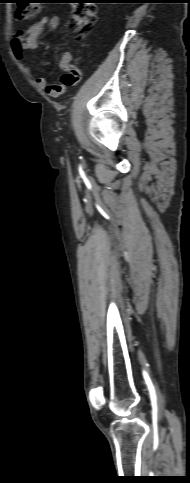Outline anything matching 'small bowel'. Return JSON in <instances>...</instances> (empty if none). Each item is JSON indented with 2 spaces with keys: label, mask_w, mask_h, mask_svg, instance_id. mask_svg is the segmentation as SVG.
Wrapping results in <instances>:
<instances>
[{
  "label": "small bowel",
  "mask_w": 190,
  "mask_h": 483,
  "mask_svg": "<svg viewBox=\"0 0 190 483\" xmlns=\"http://www.w3.org/2000/svg\"><path fill=\"white\" fill-rule=\"evenodd\" d=\"M46 26L52 30H57L61 26V20L57 15L47 14L25 32L19 31L13 35L10 41V48L17 60H22L26 52L37 49L39 36ZM70 59L69 54H64L61 59V67L75 77L74 84H76L81 77V71L76 66L70 64ZM35 82L38 87L45 89L53 97L59 96L63 91V89H58V84H49L47 78L43 75L35 76Z\"/></svg>",
  "instance_id": "c3829d8e"
}]
</instances>
